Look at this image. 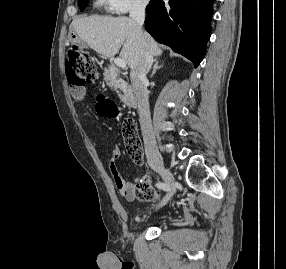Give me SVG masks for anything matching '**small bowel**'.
I'll return each instance as SVG.
<instances>
[{
  "instance_id": "small-bowel-1",
  "label": "small bowel",
  "mask_w": 286,
  "mask_h": 269,
  "mask_svg": "<svg viewBox=\"0 0 286 269\" xmlns=\"http://www.w3.org/2000/svg\"><path fill=\"white\" fill-rule=\"evenodd\" d=\"M120 88H113V93H120ZM72 96L77 101H83L85 98V90L83 88H78L76 91H71ZM121 152L117 146H113L108 153V167L110 173L114 179L115 185L119 193L127 200L133 201L136 197L134 195L135 184L125 180L117 166V160L120 158ZM143 175H138L136 181H139Z\"/></svg>"
}]
</instances>
